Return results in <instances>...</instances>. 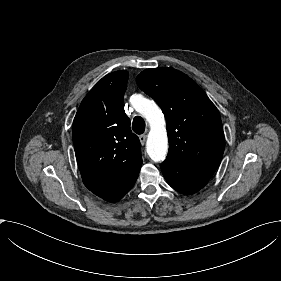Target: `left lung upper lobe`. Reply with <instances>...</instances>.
<instances>
[{"label": "left lung upper lobe", "instance_id": "left-lung-upper-lobe-1", "mask_svg": "<svg viewBox=\"0 0 281 281\" xmlns=\"http://www.w3.org/2000/svg\"><path fill=\"white\" fill-rule=\"evenodd\" d=\"M137 84L161 107L167 125V160L190 167H215L225 147L221 118L204 91L173 68L146 69Z\"/></svg>", "mask_w": 281, "mask_h": 281}]
</instances>
